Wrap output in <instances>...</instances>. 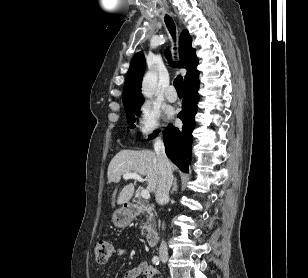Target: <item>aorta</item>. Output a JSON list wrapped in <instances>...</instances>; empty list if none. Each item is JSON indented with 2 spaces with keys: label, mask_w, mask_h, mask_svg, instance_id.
Instances as JSON below:
<instances>
[{
  "label": "aorta",
  "mask_w": 308,
  "mask_h": 278,
  "mask_svg": "<svg viewBox=\"0 0 308 278\" xmlns=\"http://www.w3.org/2000/svg\"><path fill=\"white\" fill-rule=\"evenodd\" d=\"M156 83H157L156 74L153 72H147L142 82V94L147 98H151L154 94Z\"/></svg>",
  "instance_id": "762f6f07"
}]
</instances>
